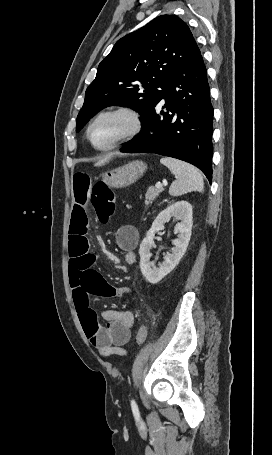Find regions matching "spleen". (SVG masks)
Segmentation results:
<instances>
[{"label": "spleen", "mask_w": 272, "mask_h": 455, "mask_svg": "<svg viewBox=\"0 0 272 455\" xmlns=\"http://www.w3.org/2000/svg\"><path fill=\"white\" fill-rule=\"evenodd\" d=\"M160 162L167 166L176 177L169 188L171 196H181L192 191L203 192V177L194 166L169 157L162 158Z\"/></svg>", "instance_id": "1"}]
</instances>
